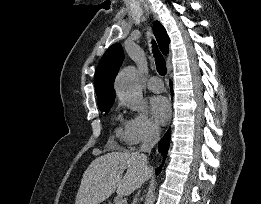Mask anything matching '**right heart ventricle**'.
Listing matches in <instances>:
<instances>
[{"label":"right heart ventricle","mask_w":261,"mask_h":204,"mask_svg":"<svg viewBox=\"0 0 261 204\" xmlns=\"http://www.w3.org/2000/svg\"><path fill=\"white\" fill-rule=\"evenodd\" d=\"M116 134H117V136H119V137H121V138H125L124 131L122 130L121 127H118V128L116 129Z\"/></svg>","instance_id":"1"}]
</instances>
